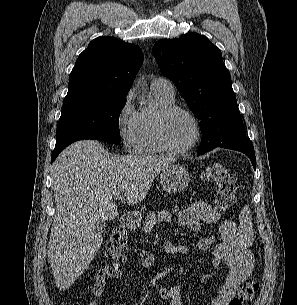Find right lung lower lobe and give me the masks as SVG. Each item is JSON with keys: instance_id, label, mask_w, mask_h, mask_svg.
<instances>
[{"instance_id": "obj_1", "label": "right lung lower lobe", "mask_w": 297, "mask_h": 305, "mask_svg": "<svg viewBox=\"0 0 297 305\" xmlns=\"http://www.w3.org/2000/svg\"><path fill=\"white\" fill-rule=\"evenodd\" d=\"M63 149H54L53 153H52V157H51V163L56 159V157L59 155V153L62 151Z\"/></svg>"}]
</instances>
